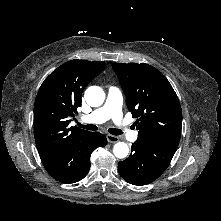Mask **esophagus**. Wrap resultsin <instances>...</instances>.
<instances>
[{
	"instance_id": "esophagus-1",
	"label": "esophagus",
	"mask_w": 221,
	"mask_h": 221,
	"mask_svg": "<svg viewBox=\"0 0 221 221\" xmlns=\"http://www.w3.org/2000/svg\"><path fill=\"white\" fill-rule=\"evenodd\" d=\"M107 140H108V142H110V143H115V142H118V141H119V137H118V136H115V135L108 134V135H107Z\"/></svg>"
}]
</instances>
